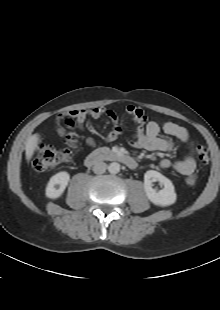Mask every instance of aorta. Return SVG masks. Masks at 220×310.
<instances>
[{
  "label": "aorta",
  "mask_w": 220,
  "mask_h": 310,
  "mask_svg": "<svg viewBox=\"0 0 220 310\" xmlns=\"http://www.w3.org/2000/svg\"><path fill=\"white\" fill-rule=\"evenodd\" d=\"M108 171L111 173V174H117L120 172V164L117 163V162H112L109 164L108 166Z\"/></svg>",
  "instance_id": "aorta-1"
}]
</instances>
